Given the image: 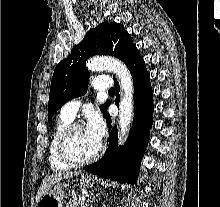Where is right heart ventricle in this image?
Listing matches in <instances>:
<instances>
[{"label":"right heart ventricle","mask_w":220,"mask_h":207,"mask_svg":"<svg viewBox=\"0 0 220 207\" xmlns=\"http://www.w3.org/2000/svg\"><path fill=\"white\" fill-rule=\"evenodd\" d=\"M71 122H72L71 119L63 115H60L56 123L55 129H54L51 141H50L49 152H48L49 164L53 170L59 171V170H67L70 168V166L64 163L63 161H61V159L58 156L57 140H58L60 133L63 131V129Z\"/></svg>","instance_id":"e07e8e85"}]
</instances>
